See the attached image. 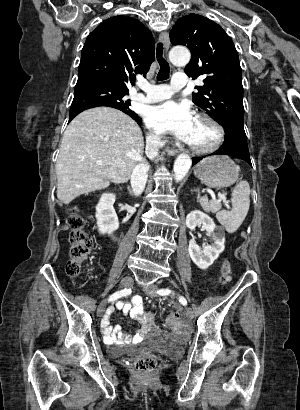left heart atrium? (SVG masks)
Masks as SVG:
<instances>
[{
  "instance_id": "left-heart-atrium-1",
  "label": "left heart atrium",
  "mask_w": 300,
  "mask_h": 410,
  "mask_svg": "<svg viewBox=\"0 0 300 410\" xmlns=\"http://www.w3.org/2000/svg\"><path fill=\"white\" fill-rule=\"evenodd\" d=\"M196 116L186 103L167 101L154 106L148 114L147 125L158 133H170L189 143L196 125Z\"/></svg>"
}]
</instances>
